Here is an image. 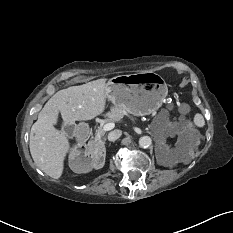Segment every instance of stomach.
Masks as SVG:
<instances>
[{"instance_id": "1", "label": "stomach", "mask_w": 233, "mask_h": 233, "mask_svg": "<svg viewBox=\"0 0 233 233\" xmlns=\"http://www.w3.org/2000/svg\"><path fill=\"white\" fill-rule=\"evenodd\" d=\"M106 89L107 99L115 107L135 116L156 112L168 94L166 82L154 72L115 76L107 82Z\"/></svg>"}]
</instances>
